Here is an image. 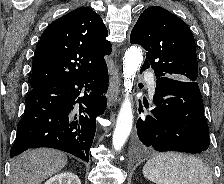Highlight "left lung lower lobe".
Wrapping results in <instances>:
<instances>
[{
    "label": "left lung lower lobe",
    "instance_id": "left-lung-lower-lobe-1",
    "mask_svg": "<svg viewBox=\"0 0 224 184\" xmlns=\"http://www.w3.org/2000/svg\"><path fill=\"white\" fill-rule=\"evenodd\" d=\"M153 104L136 124L140 146L192 154L208 149L209 128L197 82L159 77Z\"/></svg>",
    "mask_w": 224,
    "mask_h": 184
}]
</instances>
